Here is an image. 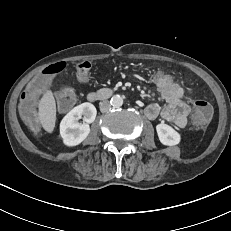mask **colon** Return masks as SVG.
I'll list each match as a JSON object with an SVG mask.
<instances>
[{
    "mask_svg": "<svg viewBox=\"0 0 231 231\" xmlns=\"http://www.w3.org/2000/svg\"><path fill=\"white\" fill-rule=\"evenodd\" d=\"M91 62L83 61L76 66V77L79 82H85L91 70ZM65 68L63 62L52 64L46 67L43 73L38 74L34 80H30L25 85V90L20 99V112L23 118L31 127L37 126L36 103L42 91H46L51 86L49 76L60 73ZM151 80L162 83H172L173 86L181 87L180 80L172 76L171 73L162 71L153 72L150 75ZM186 90V87H183ZM76 102V94L70 87L62 88L56 94L57 108L61 112L69 111ZM194 118L193 123L198 127L206 126L212 118V106L205 100H196L193 103Z\"/></svg>",
    "mask_w": 231,
    "mask_h": 231,
    "instance_id": "1",
    "label": "colon"
}]
</instances>
